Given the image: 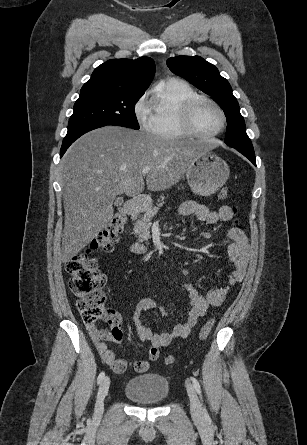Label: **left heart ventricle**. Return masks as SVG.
Instances as JSON below:
<instances>
[{"label":"left heart ventricle","instance_id":"1","mask_svg":"<svg viewBox=\"0 0 307 445\" xmlns=\"http://www.w3.org/2000/svg\"><path fill=\"white\" fill-rule=\"evenodd\" d=\"M196 121L200 129L205 133H213L223 126L221 112L212 104L202 102L196 110Z\"/></svg>","mask_w":307,"mask_h":445}]
</instances>
